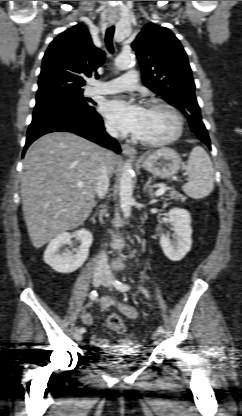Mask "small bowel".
Masks as SVG:
<instances>
[{
  "mask_svg": "<svg viewBox=\"0 0 242 416\" xmlns=\"http://www.w3.org/2000/svg\"><path fill=\"white\" fill-rule=\"evenodd\" d=\"M101 307L104 311H109L111 308L115 307L122 314L130 318H135L137 316V312L134 308L116 300L111 296H104L101 298ZM80 318L81 321L86 325H91L93 323V316L88 310H82ZM90 343L93 347L97 349H107L110 346L106 339L101 338L97 335H91Z\"/></svg>",
  "mask_w": 242,
  "mask_h": 416,
  "instance_id": "obj_1",
  "label": "small bowel"
}]
</instances>
